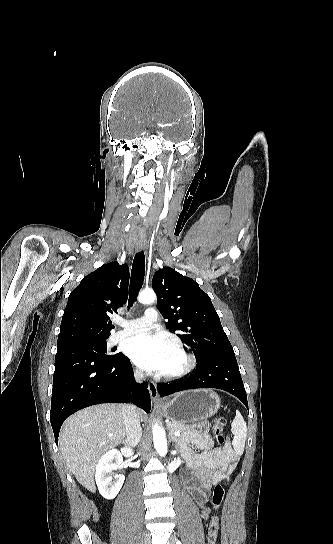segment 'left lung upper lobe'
Listing matches in <instances>:
<instances>
[{"label": "left lung upper lobe", "instance_id": "5c2ea615", "mask_svg": "<svg viewBox=\"0 0 333 544\" xmlns=\"http://www.w3.org/2000/svg\"><path fill=\"white\" fill-rule=\"evenodd\" d=\"M157 308L168 319L166 327L189 346L196 361L210 355H235L210 297L192 278L170 267L153 277Z\"/></svg>", "mask_w": 333, "mask_h": 544}]
</instances>
